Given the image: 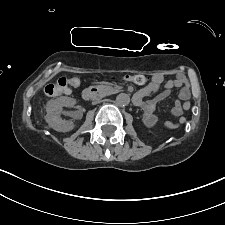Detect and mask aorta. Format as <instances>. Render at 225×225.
<instances>
[{"instance_id": "aorta-1", "label": "aorta", "mask_w": 225, "mask_h": 225, "mask_svg": "<svg viewBox=\"0 0 225 225\" xmlns=\"http://www.w3.org/2000/svg\"><path fill=\"white\" fill-rule=\"evenodd\" d=\"M130 102V96L126 93H120L116 97V104L119 106H126Z\"/></svg>"}]
</instances>
